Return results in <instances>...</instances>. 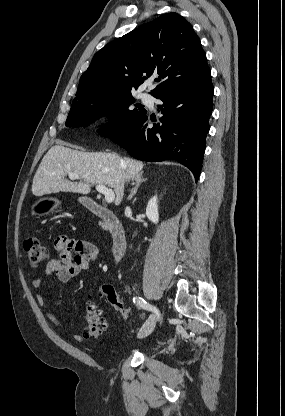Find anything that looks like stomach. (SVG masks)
<instances>
[{"mask_svg":"<svg viewBox=\"0 0 285 416\" xmlns=\"http://www.w3.org/2000/svg\"><path fill=\"white\" fill-rule=\"evenodd\" d=\"M60 204L61 202H59L57 198H39V200H36V202L32 204L31 214L32 216H37V218L48 216V214L56 212V210L60 208Z\"/></svg>","mask_w":285,"mask_h":416,"instance_id":"stomach-1","label":"stomach"}]
</instances>
